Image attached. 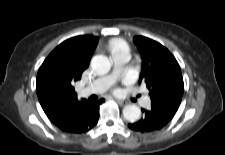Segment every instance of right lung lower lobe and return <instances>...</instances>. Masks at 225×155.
Here are the masks:
<instances>
[{
	"label": "right lung lower lobe",
	"instance_id": "98d812e1",
	"mask_svg": "<svg viewBox=\"0 0 225 155\" xmlns=\"http://www.w3.org/2000/svg\"><path fill=\"white\" fill-rule=\"evenodd\" d=\"M105 100L89 103L84 101L63 110L51 120L58 128L70 133H84L96 125L99 119V105Z\"/></svg>",
	"mask_w": 225,
	"mask_h": 155
}]
</instances>
